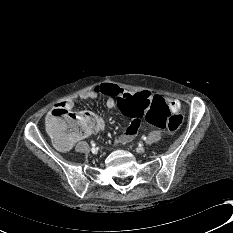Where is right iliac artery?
<instances>
[{"instance_id": "1", "label": "right iliac artery", "mask_w": 233, "mask_h": 233, "mask_svg": "<svg viewBox=\"0 0 233 233\" xmlns=\"http://www.w3.org/2000/svg\"><path fill=\"white\" fill-rule=\"evenodd\" d=\"M92 147H93V149H95V143H92Z\"/></svg>"}]
</instances>
